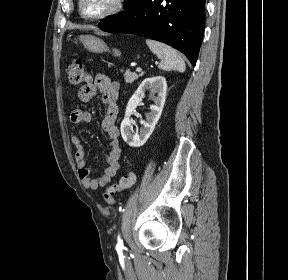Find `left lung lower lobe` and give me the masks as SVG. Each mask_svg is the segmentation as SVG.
Returning <instances> with one entry per match:
<instances>
[{
	"mask_svg": "<svg viewBox=\"0 0 288 280\" xmlns=\"http://www.w3.org/2000/svg\"><path fill=\"white\" fill-rule=\"evenodd\" d=\"M204 6L205 0H135L98 27L166 43L195 66L204 33Z\"/></svg>",
	"mask_w": 288,
	"mask_h": 280,
	"instance_id": "obj_1",
	"label": "left lung lower lobe"
}]
</instances>
